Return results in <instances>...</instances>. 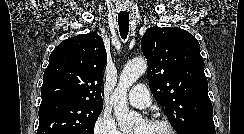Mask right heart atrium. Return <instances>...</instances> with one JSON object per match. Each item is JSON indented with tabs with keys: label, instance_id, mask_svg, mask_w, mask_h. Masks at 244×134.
I'll list each match as a JSON object with an SVG mask.
<instances>
[{
	"label": "right heart atrium",
	"instance_id": "1",
	"mask_svg": "<svg viewBox=\"0 0 244 134\" xmlns=\"http://www.w3.org/2000/svg\"><path fill=\"white\" fill-rule=\"evenodd\" d=\"M93 134H123L113 116L103 111L93 125Z\"/></svg>",
	"mask_w": 244,
	"mask_h": 134
}]
</instances>
